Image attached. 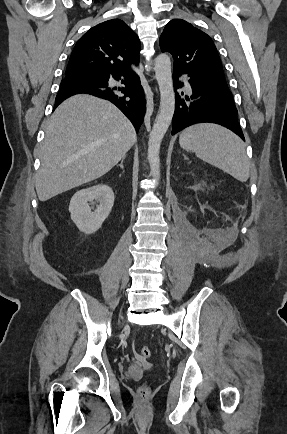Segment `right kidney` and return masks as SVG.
<instances>
[{
	"label": "right kidney",
	"mask_w": 287,
	"mask_h": 434,
	"mask_svg": "<svg viewBox=\"0 0 287 434\" xmlns=\"http://www.w3.org/2000/svg\"><path fill=\"white\" fill-rule=\"evenodd\" d=\"M94 200L99 205L92 211L88 202ZM113 204V190L108 185L99 184L76 192L71 198L69 212L78 229L85 234H91L102 226Z\"/></svg>",
	"instance_id": "obj_1"
}]
</instances>
